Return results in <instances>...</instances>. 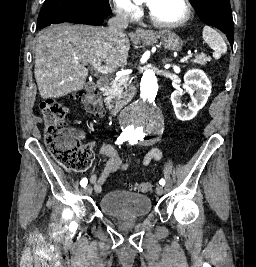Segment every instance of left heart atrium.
Listing matches in <instances>:
<instances>
[{
  "instance_id": "39dd6f15",
  "label": "left heart atrium",
  "mask_w": 256,
  "mask_h": 267,
  "mask_svg": "<svg viewBox=\"0 0 256 267\" xmlns=\"http://www.w3.org/2000/svg\"><path fill=\"white\" fill-rule=\"evenodd\" d=\"M145 1L149 9V13L151 15L154 26L162 27V25L157 20V16L163 9V7L168 3V0H145Z\"/></svg>"
}]
</instances>
